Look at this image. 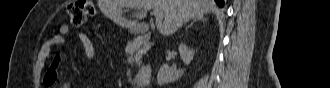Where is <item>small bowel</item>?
Wrapping results in <instances>:
<instances>
[{
  "mask_svg": "<svg viewBox=\"0 0 330 88\" xmlns=\"http://www.w3.org/2000/svg\"><path fill=\"white\" fill-rule=\"evenodd\" d=\"M70 34H74L75 38L80 42L87 58L90 61H96L97 53L91 39L84 33L75 32L70 25L65 24L60 27L59 34L48 40L41 48L37 60L38 69L42 70L44 67L45 59L49 55L52 46L64 44L66 41L65 37ZM59 61H61V58H58L56 62L42 75L41 82L43 84L53 85L57 81V64ZM64 87H68V85H65Z\"/></svg>",
  "mask_w": 330,
  "mask_h": 88,
  "instance_id": "obj_1",
  "label": "small bowel"
}]
</instances>
